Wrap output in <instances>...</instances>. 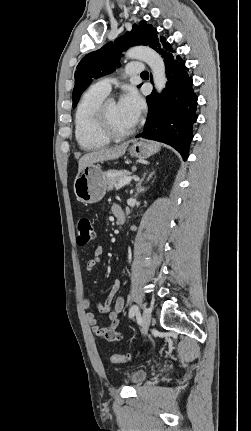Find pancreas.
Masks as SVG:
<instances>
[{
    "instance_id": "pancreas-1",
    "label": "pancreas",
    "mask_w": 251,
    "mask_h": 431,
    "mask_svg": "<svg viewBox=\"0 0 251 431\" xmlns=\"http://www.w3.org/2000/svg\"><path fill=\"white\" fill-rule=\"evenodd\" d=\"M130 175V172L127 170H121V171H109L106 173V184H107V190H113L114 187H116L119 183V181L125 177Z\"/></svg>"
}]
</instances>
